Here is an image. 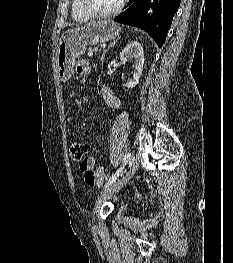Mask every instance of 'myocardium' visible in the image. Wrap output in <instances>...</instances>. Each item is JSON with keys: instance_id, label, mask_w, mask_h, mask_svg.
I'll list each match as a JSON object with an SVG mask.
<instances>
[{"instance_id": "1", "label": "myocardium", "mask_w": 233, "mask_h": 263, "mask_svg": "<svg viewBox=\"0 0 233 263\" xmlns=\"http://www.w3.org/2000/svg\"><path fill=\"white\" fill-rule=\"evenodd\" d=\"M127 0H120L118 5L113 9L105 12H98L93 10L87 3V0H80L81 7L83 11L91 18H107L119 13L125 6Z\"/></svg>"}]
</instances>
